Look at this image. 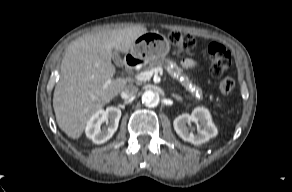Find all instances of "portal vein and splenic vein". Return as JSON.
Masks as SVG:
<instances>
[{"label":"portal vein and splenic vein","mask_w":292,"mask_h":192,"mask_svg":"<svg viewBox=\"0 0 292 192\" xmlns=\"http://www.w3.org/2000/svg\"><path fill=\"white\" fill-rule=\"evenodd\" d=\"M163 74V68L162 67H157V68H154L152 70H147V71H143L139 74H135L134 75V78L138 81H147V80H150L152 78V76L154 74ZM112 79H108L104 85V89L111 83Z\"/></svg>","instance_id":"1"}]
</instances>
